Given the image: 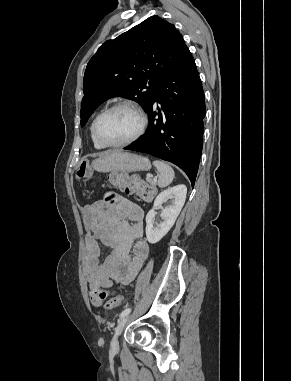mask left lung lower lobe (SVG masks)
Wrapping results in <instances>:
<instances>
[{
    "label": "left lung lower lobe",
    "instance_id": "obj_1",
    "mask_svg": "<svg viewBox=\"0 0 291 381\" xmlns=\"http://www.w3.org/2000/svg\"><path fill=\"white\" fill-rule=\"evenodd\" d=\"M156 101L161 109H154ZM145 111L149 116L147 132L124 149L174 163L194 186L202 153L205 99L189 49L158 84Z\"/></svg>",
    "mask_w": 291,
    "mask_h": 381
}]
</instances>
